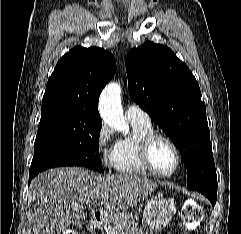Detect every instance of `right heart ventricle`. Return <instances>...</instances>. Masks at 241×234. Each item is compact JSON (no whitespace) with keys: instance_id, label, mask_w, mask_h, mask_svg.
<instances>
[{"instance_id":"obj_1","label":"right heart ventricle","mask_w":241,"mask_h":234,"mask_svg":"<svg viewBox=\"0 0 241 234\" xmlns=\"http://www.w3.org/2000/svg\"><path fill=\"white\" fill-rule=\"evenodd\" d=\"M132 134L122 138L114 145L112 167L122 175L146 176L150 172L144 167L140 157L141 141L147 134L153 132L151 123L131 122Z\"/></svg>"}]
</instances>
